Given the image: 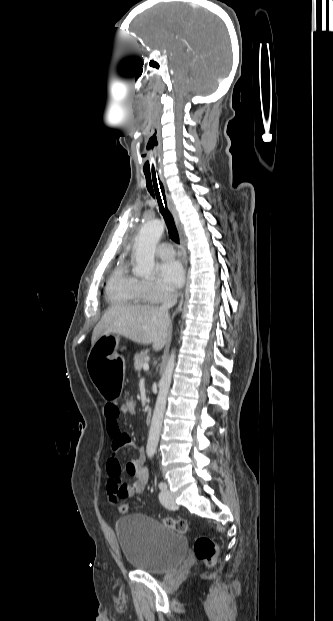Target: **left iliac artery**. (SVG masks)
<instances>
[{"instance_id": "left-iliac-artery-1", "label": "left iliac artery", "mask_w": 333, "mask_h": 621, "mask_svg": "<svg viewBox=\"0 0 333 621\" xmlns=\"http://www.w3.org/2000/svg\"><path fill=\"white\" fill-rule=\"evenodd\" d=\"M158 487H159L161 490H163V489L167 488V485H166V483H164V482H160V483L158 484Z\"/></svg>"}]
</instances>
